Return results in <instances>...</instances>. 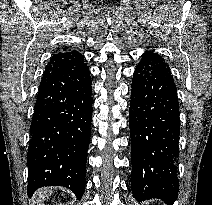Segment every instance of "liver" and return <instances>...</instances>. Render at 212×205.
Segmentation results:
<instances>
[{"instance_id":"liver-1","label":"liver","mask_w":212,"mask_h":205,"mask_svg":"<svg viewBox=\"0 0 212 205\" xmlns=\"http://www.w3.org/2000/svg\"><path fill=\"white\" fill-rule=\"evenodd\" d=\"M52 190L49 188L40 189L35 193V196L38 198L39 201H44L52 194Z\"/></svg>"}]
</instances>
